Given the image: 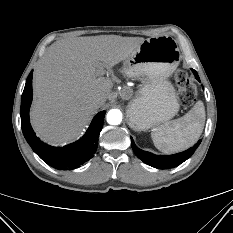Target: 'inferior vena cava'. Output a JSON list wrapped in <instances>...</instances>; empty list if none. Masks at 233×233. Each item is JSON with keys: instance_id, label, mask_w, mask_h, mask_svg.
<instances>
[{"instance_id": "inferior-vena-cava-1", "label": "inferior vena cava", "mask_w": 233, "mask_h": 233, "mask_svg": "<svg viewBox=\"0 0 233 233\" xmlns=\"http://www.w3.org/2000/svg\"><path fill=\"white\" fill-rule=\"evenodd\" d=\"M102 97L101 96H98L97 99L100 100Z\"/></svg>"}]
</instances>
